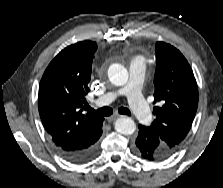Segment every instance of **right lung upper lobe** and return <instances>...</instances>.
Returning a JSON list of instances; mask_svg holds the SVG:
<instances>
[{
    "label": "right lung upper lobe",
    "mask_w": 223,
    "mask_h": 188,
    "mask_svg": "<svg viewBox=\"0 0 223 188\" xmlns=\"http://www.w3.org/2000/svg\"><path fill=\"white\" fill-rule=\"evenodd\" d=\"M97 45L82 41L63 49L46 68L39 84L41 121L55 146L77 148L102 129L103 118L84 114Z\"/></svg>",
    "instance_id": "obj_1"
}]
</instances>
